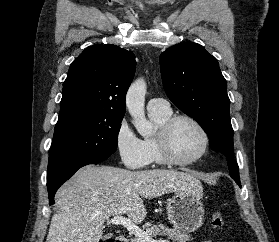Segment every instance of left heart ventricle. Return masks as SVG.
I'll use <instances>...</instances> for the list:
<instances>
[{
    "instance_id": "b2bd125f",
    "label": "left heart ventricle",
    "mask_w": 279,
    "mask_h": 242,
    "mask_svg": "<svg viewBox=\"0 0 279 242\" xmlns=\"http://www.w3.org/2000/svg\"><path fill=\"white\" fill-rule=\"evenodd\" d=\"M170 142L173 153L181 160H188L196 156L203 144L200 132L187 121H179L175 124Z\"/></svg>"
}]
</instances>
